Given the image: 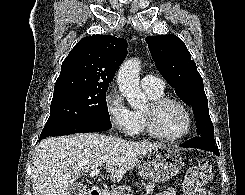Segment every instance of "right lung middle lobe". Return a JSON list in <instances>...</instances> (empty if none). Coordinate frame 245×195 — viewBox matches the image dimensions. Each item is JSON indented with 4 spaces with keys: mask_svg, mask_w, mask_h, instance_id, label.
Segmentation results:
<instances>
[{
    "mask_svg": "<svg viewBox=\"0 0 245 195\" xmlns=\"http://www.w3.org/2000/svg\"><path fill=\"white\" fill-rule=\"evenodd\" d=\"M105 88H79L54 92L50 116L40 139L94 120L110 121Z\"/></svg>",
    "mask_w": 245,
    "mask_h": 195,
    "instance_id": "dd1d6c3e",
    "label": "right lung middle lobe"
}]
</instances>
